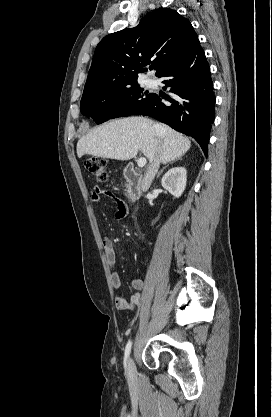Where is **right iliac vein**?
<instances>
[{
	"instance_id": "63e3f726",
	"label": "right iliac vein",
	"mask_w": 272,
	"mask_h": 417,
	"mask_svg": "<svg viewBox=\"0 0 272 417\" xmlns=\"http://www.w3.org/2000/svg\"><path fill=\"white\" fill-rule=\"evenodd\" d=\"M126 372L129 378H133L135 376V365L132 358H129L126 365Z\"/></svg>"
}]
</instances>
